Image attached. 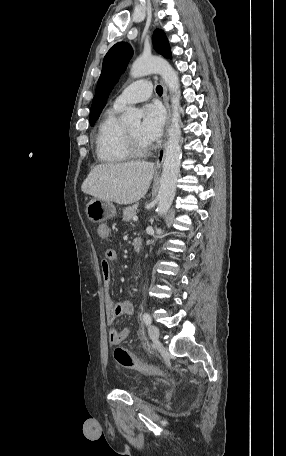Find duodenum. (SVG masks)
<instances>
[{"label": "duodenum", "instance_id": "duodenum-1", "mask_svg": "<svg viewBox=\"0 0 286 456\" xmlns=\"http://www.w3.org/2000/svg\"><path fill=\"white\" fill-rule=\"evenodd\" d=\"M141 246H142V241L140 238H134L132 240V247H133L134 251L139 252L141 250Z\"/></svg>", "mask_w": 286, "mask_h": 456}]
</instances>
